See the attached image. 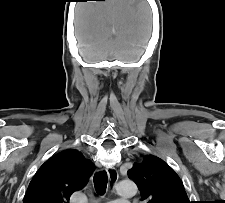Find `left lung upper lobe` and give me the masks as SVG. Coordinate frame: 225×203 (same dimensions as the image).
<instances>
[{
    "label": "left lung upper lobe",
    "mask_w": 225,
    "mask_h": 203,
    "mask_svg": "<svg viewBox=\"0 0 225 203\" xmlns=\"http://www.w3.org/2000/svg\"><path fill=\"white\" fill-rule=\"evenodd\" d=\"M147 203H191L175 171L160 158L148 155L128 171Z\"/></svg>",
    "instance_id": "1"
}]
</instances>
